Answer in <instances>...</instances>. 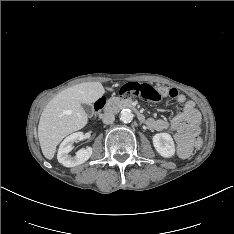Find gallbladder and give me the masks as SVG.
Here are the masks:
<instances>
[{
	"label": "gallbladder",
	"mask_w": 234,
	"mask_h": 234,
	"mask_svg": "<svg viewBox=\"0 0 234 234\" xmlns=\"http://www.w3.org/2000/svg\"><path fill=\"white\" fill-rule=\"evenodd\" d=\"M82 107L86 114L91 115L93 113V108L91 105L83 104Z\"/></svg>",
	"instance_id": "gallbladder-1"
}]
</instances>
